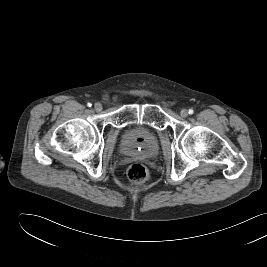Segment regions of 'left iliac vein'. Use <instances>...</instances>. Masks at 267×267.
<instances>
[{"mask_svg":"<svg viewBox=\"0 0 267 267\" xmlns=\"http://www.w3.org/2000/svg\"><path fill=\"white\" fill-rule=\"evenodd\" d=\"M180 115L182 116V117H187L188 116V110L187 109H182L181 111H180Z\"/></svg>","mask_w":267,"mask_h":267,"instance_id":"obj_1","label":"left iliac vein"}]
</instances>
